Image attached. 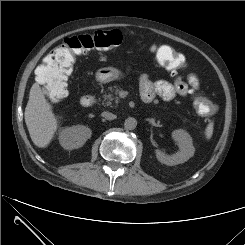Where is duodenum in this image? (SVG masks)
Wrapping results in <instances>:
<instances>
[{"mask_svg":"<svg viewBox=\"0 0 245 245\" xmlns=\"http://www.w3.org/2000/svg\"><path fill=\"white\" fill-rule=\"evenodd\" d=\"M94 103V97L91 94H84L80 98V105L84 108L91 107Z\"/></svg>","mask_w":245,"mask_h":245,"instance_id":"duodenum-1","label":"duodenum"}]
</instances>
